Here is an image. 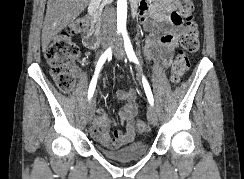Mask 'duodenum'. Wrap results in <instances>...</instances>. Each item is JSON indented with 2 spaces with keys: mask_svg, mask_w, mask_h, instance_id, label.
<instances>
[{
  "mask_svg": "<svg viewBox=\"0 0 244 179\" xmlns=\"http://www.w3.org/2000/svg\"><path fill=\"white\" fill-rule=\"evenodd\" d=\"M132 13L137 14V11L134 9H131ZM89 17L94 21V28L91 34L89 35L90 41L93 44V47H96V45L100 42L99 37V28L97 24V19L99 16V4L97 1H92L90 4V8L88 10Z\"/></svg>",
  "mask_w": 244,
  "mask_h": 179,
  "instance_id": "obj_1",
  "label": "duodenum"
}]
</instances>
